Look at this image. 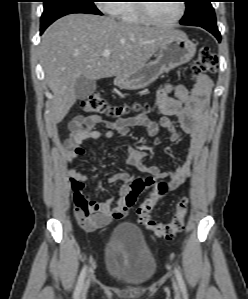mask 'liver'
Listing matches in <instances>:
<instances>
[{"label": "liver", "instance_id": "1", "mask_svg": "<svg viewBox=\"0 0 248 299\" xmlns=\"http://www.w3.org/2000/svg\"><path fill=\"white\" fill-rule=\"evenodd\" d=\"M179 33L172 28L91 14H70L55 21L44 32L39 46L53 93L52 122H61L76 102L74 85L80 76L97 80L134 72ZM106 49L111 54L103 57Z\"/></svg>", "mask_w": 248, "mask_h": 299}]
</instances>
